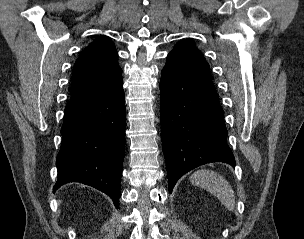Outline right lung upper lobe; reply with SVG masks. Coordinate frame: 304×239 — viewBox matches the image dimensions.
<instances>
[{
    "label": "right lung upper lobe",
    "instance_id": "right-lung-upper-lobe-1",
    "mask_svg": "<svg viewBox=\"0 0 304 239\" xmlns=\"http://www.w3.org/2000/svg\"><path fill=\"white\" fill-rule=\"evenodd\" d=\"M118 55L114 43L101 36L88 45L76 60L72 76L71 99L102 85L117 73Z\"/></svg>",
    "mask_w": 304,
    "mask_h": 239
}]
</instances>
